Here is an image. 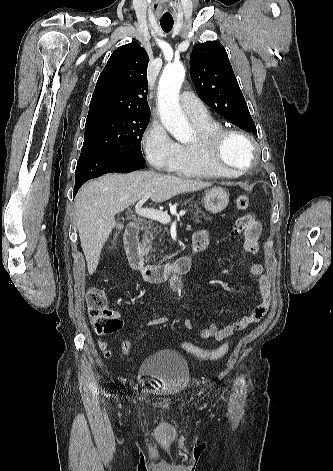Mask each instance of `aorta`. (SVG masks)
Segmentation results:
<instances>
[{"mask_svg": "<svg viewBox=\"0 0 333 471\" xmlns=\"http://www.w3.org/2000/svg\"><path fill=\"white\" fill-rule=\"evenodd\" d=\"M184 77L185 69L181 63L169 64L163 69L158 86L161 122L179 142L188 141L192 134L178 99Z\"/></svg>", "mask_w": 333, "mask_h": 471, "instance_id": "762f6f07", "label": "aorta"}]
</instances>
